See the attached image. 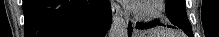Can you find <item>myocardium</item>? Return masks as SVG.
I'll list each match as a JSON object with an SVG mask.
<instances>
[{
	"mask_svg": "<svg viewBox=\"0 0 219 37\" xmlns=\"http://www.w3.org/2000/svg\"><path fill=\"white\" fill-rule=\"evenodd\" d=\"M144 2H137L134 6L130 7V12L132 13L135 20L140 22H148L156 19L162 12V0H151V8L144 10L141 6L145 3Z\"/></svg>",
	"mask_w": 219,
	"mask_h": 37,
	"instance_id": "obj_1",
	"label": "myocardium"
}]
</instances>
